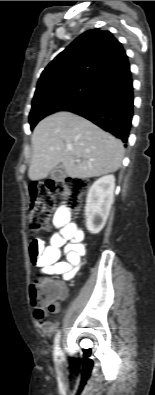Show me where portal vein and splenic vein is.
<instances>
[{
    "label": "portal vein and splenic vein",
    "instance_id": "portal-vein-and-splenic-vein-1",
    "mask_svg": "<svg viewBox=\"0 0 155 395\" xmlns=\"http://www.w3.org/2000/svg\"><path fill=\"white\" fill-rule=\"evenodd\" d=\"M76 161H77V162H79L80 160H79V159H77Z\"/></svg>",
    "mask_w": 155,
    "mask_h": 395
}]
</instances>
